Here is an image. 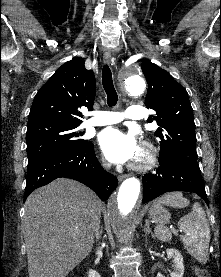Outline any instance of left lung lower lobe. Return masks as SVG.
<instances>
[{"instance_id":"left-lung-lower-lobe-1","label":"left lung lower lobe","mask_w":221,"mask_h":277,"mask_svg":"<svg viewBox=\"0 0 221 277\" xmlns=\"http://www.w3.org/2000/svg\"><path fill=\"white\" fill-rule=\"evenodd\" d=\"M159 168L142 177L144 185L143 203L171 191H187L198 194L208 205L201 171L180 161H159Z\"/></svg>"}]
</instances>
